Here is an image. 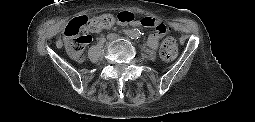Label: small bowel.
I'll return each instance as SVG.
<instances>
[{"label":"small bowel","instance_id":"c3829d8e","mask_svg":"<svg viewBox=\"0 0 255 122\" xmlns=\"http://www.w3.org/2000/svg\"><path fill=\"white\" fill-rule=\"evenodd\" d=\"M132 26H138L140 23L138 21H133L129 23ZM161 40V35L159 33H151L148 37V45L151 49L156 50L159 46Z\"/></svg>","mask_w":255,"mask_h":122}]
</instances>
